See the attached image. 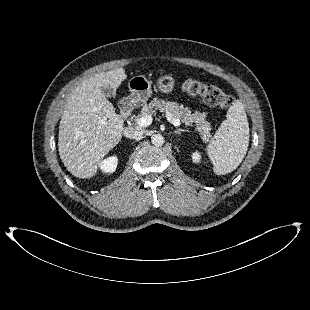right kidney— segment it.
Masks as SVG:
<instances>
[{"label":"right kidney","mask_w":310,"mask_h":310,"mask_svg":"<svg viewBox=\"0 0 310 310\" xmlns=\"http://www.w3.org/2000/svg\"><path fill=\"white\" fill-rule=\"evenodd\" d=\"M118 164V159L116 156L108 157L107 159H104L100 163V169L103 173H113Z\"/></svg>","instance_id":"right-kidney-1"}]
</instances>
